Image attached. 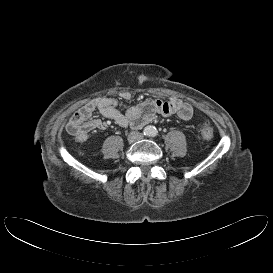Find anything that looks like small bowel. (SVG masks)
<instances>
[{
  "mask_svg": "<svg viewBox=\"0 0 273 273\" xmlns=\"http://www.w3.org/2000/svg\"><path fill=\"white\" fill-rule=\"evenodd\" d=\"M124 99L130 100L128 93L123 95ZM120 102L114 98L99 97L83 105L71 116L67 124L68 132L79 142L88 139L92 130H104L107 123L93 117L98 110L102 116L113 120L121 127L141 128L152 121L156 114L163 116L177 115L182 120H189L193 115L192 106L178 98L168 101L146 100L142 103L129 106L124 112L120 111Z\"/></svg>",
  "mask_w": 273,
  "mask_h": 273,
  "instance_id": "obj_1",
  "label": "small bowel"
}]
</instances>
